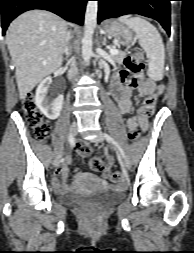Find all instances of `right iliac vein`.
Listing matches in <instances>:
<instances>
[{
  "label": "right iliac vein",
  "mask_w": 194,
  "mask_h": 253,
  "mask_svg": "<svg viewBox=\"0 0 194 253\" xmlns=\"http://www.w3.org/2000/svg\"><path fill=\"white\" fill-rule=\"evenodd\" d=\"M77 129H78V125L77 123L74 121L71 123L70 128H69V135L71 136H75L77 134ZM61 162V154H59L53 162L54 167H58L59 164Z\"/></svg>",
  "instance_id": "obj_1"
}]
</instances>
